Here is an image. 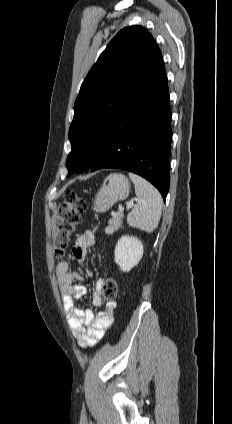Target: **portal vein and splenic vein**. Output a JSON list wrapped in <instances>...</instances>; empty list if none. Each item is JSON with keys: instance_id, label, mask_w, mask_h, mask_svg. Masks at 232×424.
<instances>
[{"instance_id": "1", "label": "portal vein and splenic vein", "mask_w": 232, "mask_h": 424, "mask_svg": "<svg viewBox=\"0 0 232 424\" xmlns=\"http://www.w3.org/2000/svg\"><path fill=\"white\" fill-rule=\"evenodd\" d=\"M134 200H136V199H132L130 202L127 203V206H126L127 209L132 208V206L134 204ZM118 210H119V212H123L124 211V207L123 206H119V209ZM114 215H115V213H112V216H114Z\"/></svg>"}]
</instances>
